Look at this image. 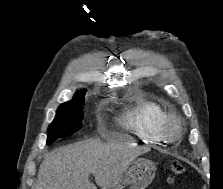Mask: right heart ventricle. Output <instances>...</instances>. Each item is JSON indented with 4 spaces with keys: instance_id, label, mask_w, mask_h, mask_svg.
<instances>
[{
    "instance_id": "e07e8e85",
    "label": "right heart ventricle",
    "mask_w": 223,
    "mask_h": 189,
    "mask_svg": "<svg viewBox=\"0 0 223 189\" xmlns=\"http://www.w3.org/2000/svg\"><path fill=\"white\" fill-rule=\"evenodd\" d=\"M168 115L166 109L157 101L137 99L129 103L121 116L118 125L134 134L147 144L165 143L162 124Z\"/></svg>"
}]
</instances>
